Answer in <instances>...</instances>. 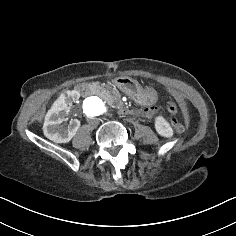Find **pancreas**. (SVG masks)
I'll return each mask as SVG.
<instances>
[{
  "label": "pancreas",
  "mask_w": 236,
  "mask_h": 236,
  "mask_svg": "<svg viewBox=\"0 0 236 236\" xmlns=\"http://www.w3.org/2000/svg\"><path fill=\"white\" fill-rule=\"evenodd\" d=\"M97 84H99V83H97ZM96 94L100 98L104 99L105 101L110 100L112 97L110 91L107 90L103 84L98 86V91L96 92Z\"/></svg>",
  "instance_id": "obj_1"
}]
</instances>
